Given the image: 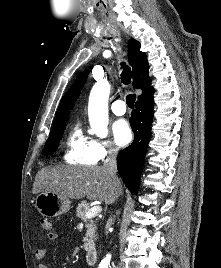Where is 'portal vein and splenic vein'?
<instances>
[{"mask_svg": "<svg viewBox=\"0 0 221 268\" xmlns=\"http://www.w3.org/2000/svg\"><path fill=\"white\" fill-rule=\"evenodd\" d=\"M102 208L99 205H95L93 207H91L86 213H85V217L86 218H92L97 216L100 212H101Z\"/></svg>", "mask_w": 221, "mask_h": 268, "instance_id": "portal-vein-and-splenic-vein-1", "label": "portal vein and splenic vein"}]
</instances>
